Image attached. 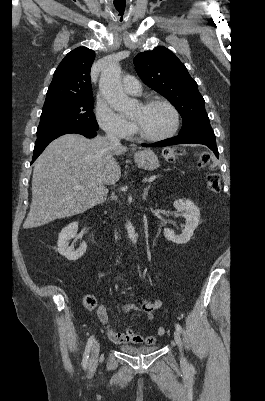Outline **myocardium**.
I'll use <instances>...</instances> for the list:
<instances>
[{
    "instance_id": "myocardium-1",
    "label": "myocardium",
    "mask_w": 265,
    "mask_h": 401,
    "mask_svg": "<svg viewBox=\"0 0 265 401\" xmlns=\"http://www.w3.org/2000/svg\"><path fill=\"white\" fill-rule=\"evenodd\" d=\"M155 104L164 105L165 107H167L171 111V113L173 115V125L169 130H167L166 132H164V133H162L160 135L150 136V135L139 134L137 125L133 122L134 129H135L136 133H138L139 137L142 138L143 140L160 141V140H163V139H166L168 137L173 136L179 129V126H180V115H179V112H178L177 108L172 103H170L169 101H167L165 99H161V98L148 99V100H146V101H144L142 103V105L144 107L152 106V105H155Z\"/></svg>"
}]
</instances>
